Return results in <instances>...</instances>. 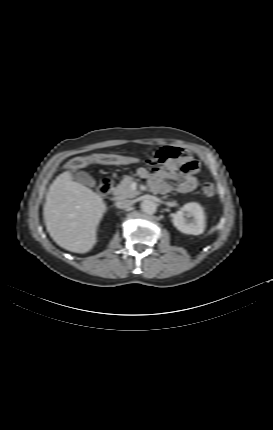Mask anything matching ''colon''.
I'll list each match as a JSON object with an SVG mask.
<instances>
[{"mask_svg":"<svg viewBox=\"0 0 273 430\" xmlns=\"http://www.w3.org/2000/svg\"><path fill=\"white\" fill-rule=\"evenodd\" d=\"M139 159L132 156L115 155V154H93L71 159L67 164V169L77 171L92 164H129L137 162ZM202 191L207 197L215 195V186L206 182L202 186Z\"/></svg>","mask_w":273,"mask_h":430,"instance_id":"colon-1","label":"colon"}]
</instances>
